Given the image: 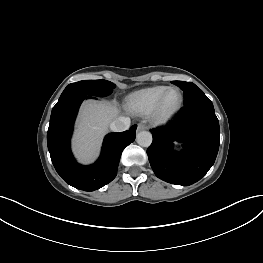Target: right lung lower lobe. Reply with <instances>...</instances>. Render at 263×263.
Returning a JSON list of instances; mask_svg holds the SVG:
<instances>
[{
    "mask_svg": "<svg viewBox=\"0 0 263 263\" xmlns=\"http://www.w3.org/2000/svg\"><path fill=\"white\" fill-rule=\"evenodd\" d=\"M89 98L92 97L72 95L57 102L50 117L47 144L57 173L69 185L91 192L115 178L123 149L135 140L137 125L124 132L108 134L101 155L94 164H78L70 150V138L79 106Z\"/></svg>",
    "mask_w": 263,
    "mask_h": 263,
    "instance_id": "98d812e1",
    "label": "right lung lower lobe"
}]
</instances>
